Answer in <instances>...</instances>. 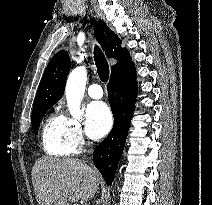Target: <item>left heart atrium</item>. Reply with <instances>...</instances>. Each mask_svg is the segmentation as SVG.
<instances>
[{
  "label": "left heart atrium",
  "mask_w": 212,
  "mask_h": 205,
  "mask_svg": "<svg viewBox=\"0 0 212 205\" xmlns=\"http://www.w3.org/2000/svg\"><path fill=\"white\" fill-rule=\"evenodd\" d=\"M113 119L104 102H92L86 110V132L92 139H99L109 132Z\"/></svg>",
  "instance_id": "1"
}]
</instances>
